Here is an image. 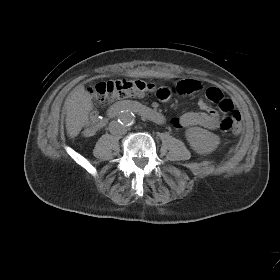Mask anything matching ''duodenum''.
Instances as JSON below:
<instances>
[{
	"instance_id": "obj_1",
	"label": "duodenum",
	"mask_w": 280,
	"mask_h": 280,
	"mask_svg": "<svg viewBox=\"0 0 280 280\" xmlns=\"http://www.w3.org/2000/svg\"><path fill=\"white\" fill-rule=\"evenodd\" d=\"M128 111L134 112L157 124H163L165 122V118L160 112L135 101L119 102L117 104H114L108 109L107 115L110 118H114L119 114H121L122 112H128Z\"/></svg>"
}]
</instances>
